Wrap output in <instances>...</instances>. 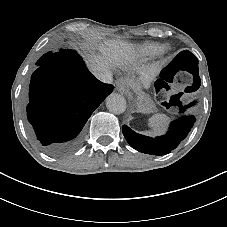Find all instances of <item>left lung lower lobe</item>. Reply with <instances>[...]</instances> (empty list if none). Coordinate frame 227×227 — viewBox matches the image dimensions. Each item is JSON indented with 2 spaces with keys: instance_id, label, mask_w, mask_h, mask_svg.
<instances>
[{
  "instance_id": "obj_1",
  "label": "left lung lower lobe",
  "mask_w": 227,
  "mask_h": 227,
  "mask_svg": "<svg viewBox=\"0 0 227 227\" xmlns=\"http://www.w3.org/2000/svg\"><path fill=\"white\" fill-rule=\"evenodd\" d=\"M184 111V109L180 110L181 113ZM194 122V116L182 117L171 124L166 135L156 138L137 134L126 125L122 127V131L128 143L137 151L160 156L175 149L187 136Z\"/></svg>"
}]
</instances>
